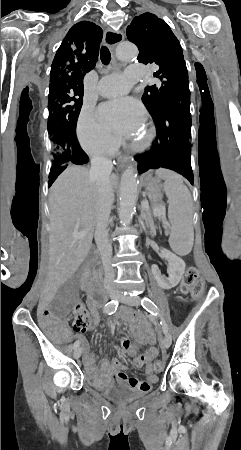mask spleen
<instances>
[{"label": "spleen", "instance_id": "obj_1", "mask_svg": "<svg viewBox=\"0 0 241 450\" xmlns=\"http://www.w3.org/2000/svg\"><path fill=\"white\" fill-rule=\"evenodd\" d=\"M157 178L165 180L164 190L169 198V219L171 227L169 244L178 256L190 254L194 244V232L190 226L192 214L191 194L180 176L169 170H156ZM175 211V212H172Z\"/></svg>", "mask_w": 241, "mask_h": 450}]
</instances>
